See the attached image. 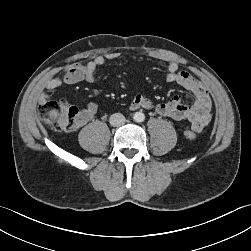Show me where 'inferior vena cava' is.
I'll return each mask as SVG.
<instances>
[{
  "instance_id": "inferior-vena-cava-1",
  "label": "inferior vena cava",
  "mask_w": 251,
  "mask_h": 251,
  "mask_svg": "<svg viewBox=\"0 0 251 251\" xmlns=\"http://www.w3.org/2000/svg\"><path fill=\"white\" fill-rule=\"evenodd\" d=\"M125 122L126 118L120 113H115L110 116V124L114 127L122 126Z\"/></svg>"
}]
</instances>
